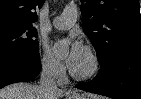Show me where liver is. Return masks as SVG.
<instances>
[{
  "mask_svg": "<svg viewBox=\"0 0 141 99\" xmlns=\"http://www.w3.org/2000/svg\"><path fill=\"white\" fill-rule=\"evenodd\" d=\"M64 95L62 90L47 91L40 85L19 82L8 85L0 90V99H61ZM91 99L93 95L86 94Z\"/></svg>",
  "mask_w": 141,
  "mask_h": 99,
  "instance_id": "liver-1",
  "label": "liver"
}]
</instances>
